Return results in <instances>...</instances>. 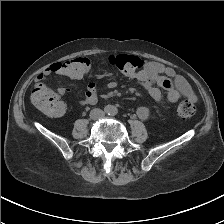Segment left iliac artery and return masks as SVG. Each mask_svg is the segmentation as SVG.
<instances>
[{"label": "left iliac artery", "instance_id": "1", "mask_svg": "<svg viewBox=\"0 0 224 224\" xmlns=\"http://www.w3.org/2000/svg\"><path fill=\"white\" fill-rule=\"evenodd\" d=\"M117 113H118V110L116 108H113L112 111H111V114L116 115Z\"/></svg>", "mask_w": 224, "mask_h": 224}]
</instances>
